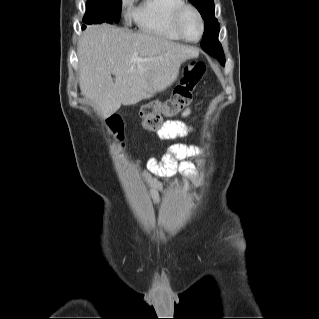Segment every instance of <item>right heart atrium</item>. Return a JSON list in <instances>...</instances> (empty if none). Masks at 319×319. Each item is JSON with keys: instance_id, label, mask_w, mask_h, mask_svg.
Here are the masks:
<instances>
[{"instance_id": "right-heart-atrium-1", "label": "right heart atrium", "mask_w": 319, "mask_h": 319, "mask_svg": "<svg viewBox=\"0 0 319 319\" xmlns=\"http://www.w3.org/2000/svg\"><path fill=\"white\" fill-rule=\"evenodd\" d=\"M133 0H124L123 1V4L124 5H129Z\"/></svg>"}]
</instances>
